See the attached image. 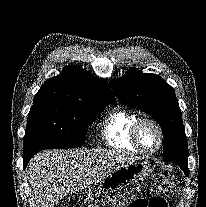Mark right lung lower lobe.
<instances>
[{
  "label": "right lung lower lobe",
  "instance_id": "1",
  "mask_svg": "<svg viewBox=\"0 0 206 207\" xmlns=\"http://www.w3.org/2000/svg\"><path fill=\"white\" fill-rule=\"evenodd\" d=\"M34 154H23V159H24V169L26 168L29 160L31 159V157L33 156Z\"/></svg>",
  "mask_w": 206,
  "mask_h": 207
}]
</instances>
